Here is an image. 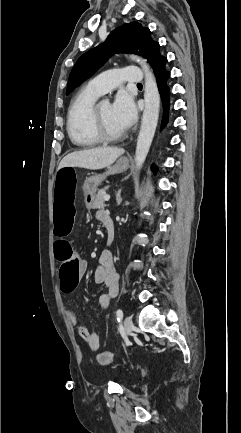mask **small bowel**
I'll return each mask as SVG.
<instances>
[{
	"instance_id": "c3829d8e",
	"label": "small bowel",
	"mask_w": 241,
	"mask_h": 433,
	"mask_svg": "<svg viewBox=\"0 0 241 433\" xmlns=\"http://www.w3.org/2000/svg\"><path fill=\"white\" fill-rule=\"evenodd\" d=\"M56 181V178H55ZM55 193V192H54ZM108 215L104 210H99L96 213V218L102 222L103 216ZM85 262L81 261V268L85 269ZM62 279V277H61ZM94 281L97 284L104 285L107 288V293L101 294L98 298L99 307L102 309H108L111 300L116 297L118 293V282L119 276L116 271L115 262L113 257L108 252H103L99 259L94 272ZM69 321L78 327V333L80 337L88 344L90 350L97 351L100 346L99 337L97 333L89 331L85 326L79 324V319L76 313L72 310H68Z\"/></svg>"
}]
</instances>
